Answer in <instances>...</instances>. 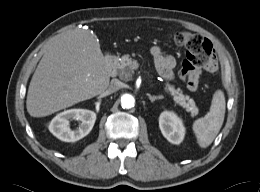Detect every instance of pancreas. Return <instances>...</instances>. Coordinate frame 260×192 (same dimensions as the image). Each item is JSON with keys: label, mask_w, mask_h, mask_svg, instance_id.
<instances>
[{"label": "pancreas", "mask_w": 260, "mask_h": 192, "mask_svg": "<svg viewBox=\"0 0 260 192\" xmlns=\"http://www.w3.org/2000/svg\"><path fill=\"white\" fill-rule=\"evenodd\" d=\"M134 63H136V61L133 60L128 54L123 55L120 58L117 68L121 79L129 81L132 78ZM164 90L173 97L176 104H179L187 112H190L192 117L198 115L199 111L194 100L188 95H184L180 88H175L174 85L166 82Z\"/></svg>", "instance_id": "pancreas-1"}]
</instances>
